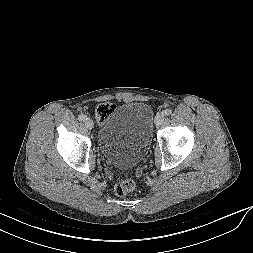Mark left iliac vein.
I'll return each mask as SVG.
<instances>
[{
    "label": "left iliac vein",
    "mask_w": 253,
    "mask_h": 253,
    "mask_svg": "<svg viewBox=\"0 0 253 253\" xmlns=\"http://www.w3.org/2000/svg\"><path fill=\"white\" fill-rule=\"evenodd\" d=\"M164 119H165L164 113L162 112L158 113L155 117V125L160 126L163 123Z\"/></svg>",
    "instance_id": "left-iliac-vein-1"
}]
</instances>
